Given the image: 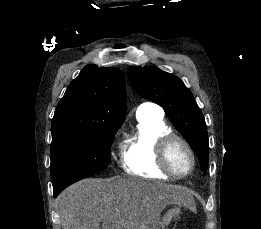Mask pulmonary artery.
I'll return each mask as SVG.
<instances>
[{
	"label": "pulmonary artery",
	"instance_id": "pulmonary-artery-1",
	"mask_svg": "<svg viewBox=\"0 0 261 229\" xmlns=\"http://www.w3.org/2000/svg\"><path fill=\"white\" fill-rule=\"evenodd\" d=\"M139 108H151V109H155V110H157V111H160V110H161V108H160L158 105H155V104H153V103H151V102H148V101L143 102V103L139 106ZM136 116L139 117V116H142V115H141V114H136Z\"/></svg>",
	"mask_w": 261,
	"mask_h": 229
}]
</instances>
